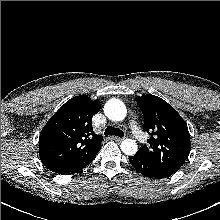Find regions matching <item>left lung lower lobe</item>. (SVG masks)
Here are the masks:
<instances>
[{
    "label": "left lung lower lobe",
    "instance_id": "0a47b994",
    "mask_svg": "<svg viewBox=\"0 0 220 220\" xmlns=\"http://www.w3.org/2000/svg\"><path fill=\"white\" fill-rule=\"evenodd\" d=\"M129 161L138 172L149 178L162 179L175 173L174 171L161 167L138 153L129 157Z\"/></svg>",
    "mask_w": 220,
    "mask_h": 220
}]
</instances>
